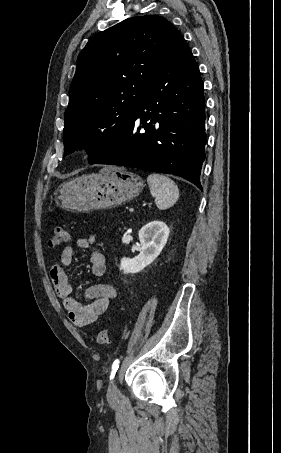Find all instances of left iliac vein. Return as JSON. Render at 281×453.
I'll use <instances>...</instances> for the list:
<instances>
[{
	"label": "left iliac vein",
	"mask_w": 281,
	"mask_h": 453,
	"mask_svg": "<svg viewBox=\"0 0 281 453\" xmlns=\"http://www.w3.org/2000/svg\"><path fill=\"white\" fill-rule=\"evenodd\" d=\"M110 383H111V384L109 385L108 391H107L108 394H109V395H117L118 392H119V391H118V387L115 385L117 382H116L115 380H114V381L112 380ZM113 384H114V385H113Z\"/></svg>",
	"instance_id": "4c4485c4"
}]
</instances>
